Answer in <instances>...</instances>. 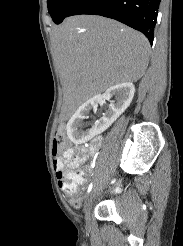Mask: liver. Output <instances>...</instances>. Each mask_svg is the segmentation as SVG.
Wrapping results in <instances>:
<instances>
[{"label":"liver","instance_id":"obj_1","mask_svg":"<svg viewBox=\"0 0 183 246\" xmlns=\"http://www.w3.org/2000/svg\"><path fill=\"white\" fill-rule=\"evenodd\" d=\"M64 108L79 105L108 88L138 81L149 63V42L141 33L97 15L67 18L52 33Z\"/></svg>","mask_w":183,"mask_h":246}]
</instances>
